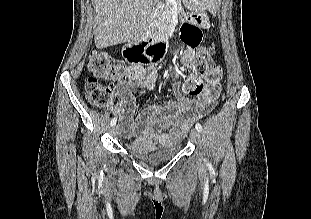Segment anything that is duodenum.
<instances>
[{"mask_svg":"<svg viewBox=\"0 0 311 219\" xmlns=\"http://www.w3.org/2000/svg\"><path fill=\"white\" fill-rule=\"evenodd\" d=\"M166 37L162 36L157 28L146 30L139 41L134 42L126 51V57L133 62L143 55H154L158 50L165 48Z\"/></svg>","mask_w":311,"mask_h":219,"instance_id":"obj_1","label":"duodenum"}]
</instances>
